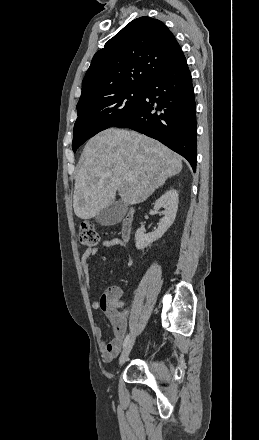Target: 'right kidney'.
Returning a JSON list of instances; mask_svg holds the SVG:
<instances>
[{"label":"right kidney","instance_id":"obj_1","mask_svg":"<svg viewBox=\"0 0 259 440\" xmlns=\"http://www.w3.org/2000/svg\"><path fill=\"white\" fill-rule=\"evenodd\" d=\"M178 199V192L175 189H170L156 200L154 210L157 211L163 207L165 209L164 217L161 218L158 228L154 232L145 234L143 229H137L135 232V246L138 250L150 246L170 228L176 218Z\"/></svg>","mask_w":259,"mask_h":440}]
</instances>
